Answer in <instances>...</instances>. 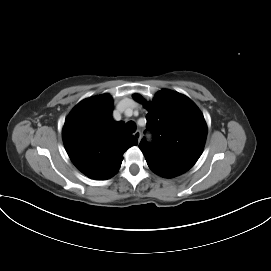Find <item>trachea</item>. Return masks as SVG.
Returning a JSON list of instances; mask_svg holds the SVG:
<instances>
[{
    "mask_svg": "<svg viewBox=\"0 0 271 271\" xmlns=\"http://www.w3.org/2000/svg\"><path fill=\"white\" fill-rule=\"evenodd\" d=\"M127 132L134 133L136 130V124L133 121H129L125 125Z\"/></svg>",
    "mask_w": 271,
    "mask_h": 271,
    "instance_id": "1",
    "label": "trachea"
}]
</instances>
